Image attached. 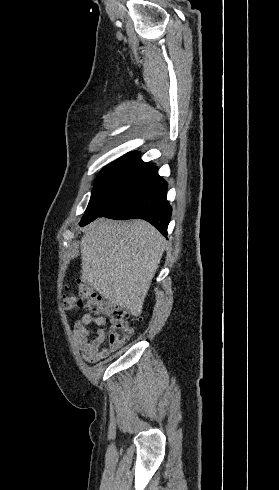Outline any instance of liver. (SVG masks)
<instances>
[{
  "instance_id": "obj_1",
  "label": "liver",
  "mask_w": 279,
  "mask_h": 490,
  "mask_svg": "<svg viewBox=\"0 0 279 490\" xmlns=\"http://www.w3.org/2000/svg\"><path fill=\"white\" fill-rule=\"evenodd\" d=\"M81 278L110 304L141 316L164 252V238L144 220L98 218L81 242Z\"/></svg>"
}]
</instances>
